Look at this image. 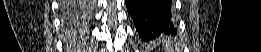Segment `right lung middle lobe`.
I'll return each mask as SVG.
<instances>
[{
  "instance_id": "1",
  "label": "right lung middle lobe",
  "mask_w": 261,
  "mask_h": 52,
  "mask_svg": "<svg viewBox=\"0 0 261 52\" xmlns=\"http://www.w3.org/2000/svg\"><path fill=\"white\" fill-rule=\"evenodd\" d=\"M82 6H84V4L80 3L78 6V11L73 16H68V17L72 19H77V18L80 19L81 15H79V13H80V9H83Z\"/></svg>"
}]
</instances>
